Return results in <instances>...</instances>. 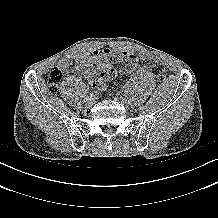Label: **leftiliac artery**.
<instances>
[{
    "label": "left iliac artery",
    "mask_w": 218,
    "mask_h": 218,
    "mask_svg": "<svg viewBox=\"0 0 218 218\" xmlns=\"http://www.w3.org/2000/svg\"><path fill=\"white\" fill-rule=\"evenodd\" d=\"M119 92L122 93V94L125 95V96L128 94L127 91L124 90L123 88H120V89H119Z\"/></svg>",
    "instance_id": "obj_1"
}]
</instances>
